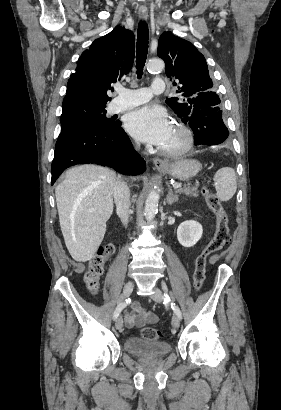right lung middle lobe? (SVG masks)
Returning a JSON list of instances; mask_svg holds the SVG:
<instances>
[{"mask_svg":"<svg viewBox=\"0 0 281 410\" xmlns=\"http://www.w3.org/2000/svg\"><path fill=\"white\" fill-rule=\"evenodd\" d=\"M106 105L73 104L63 106L58 139L85 128H105L116 123L106 117Z\"/></svg>","mask_w":281,"mask_h":410,"instance_id":"obj_1","label":"right lung middle lobe"}]
</instances>
